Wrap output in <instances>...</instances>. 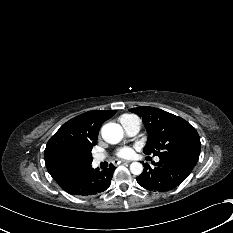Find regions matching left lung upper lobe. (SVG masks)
Here are the masks:
<instances>
[{
    "instance_id": "1",
    "label": "left lung upper lobe",
    "mask_w": 233,
    "mask_h": 233,
    "mask_svg": "<svg viewBox=\"0 0 233 233\" xmlns=\"http://www.w3.org/2000/svg\"><path fill=\"white\" fill-rule=\"evenodd\" d=\"M139 115L149 134L145 154L175 160L193 169L199 159L201 142L196 129L186 120L164 110L141 106L129 109Z\"/></svg>"
}]
</instances>
